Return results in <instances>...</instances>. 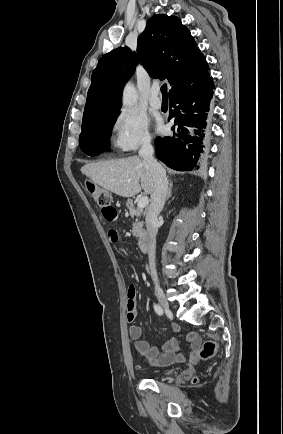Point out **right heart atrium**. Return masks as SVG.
Returning <instances> with one entry per match:
<instances>
[{"label": "right heart atrium", "instance_id": "d8ad5b80", "mask_svg": "<svg viewBox=\"0 0 283 434\" xmlns=\"http://www.w3.org/2000/svg\"><path fill=\"white\" fill-rule=\"evenodd\" d=\"M114 144L123 152H132L151 141L147 119L134 110H122L113 125Z\"/></svg>", "mask_w": 283, "mask_h": 434}]
</instances>
